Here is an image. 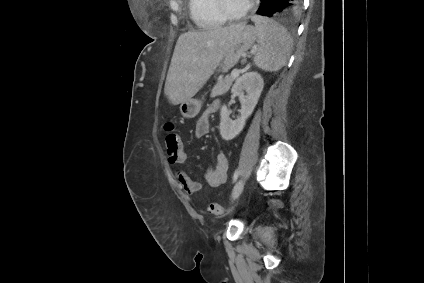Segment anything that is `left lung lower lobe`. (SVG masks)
<instances>
[{"mask_svg": "<svg viewBox=\"0 0 424 283\" xmlns=\"http://www.w3.org/2000/svg\"><path fill=\"white\" fill-rule=\"evenodd\" d=\"M261 5L257 13L262 16H288L300 11L303 0H260Z\"/></svg>", "mask_w": 424, "mask_h": 283, "instance_id": "obj_1", "label": "left lung lower lobe"}]
</instances>
